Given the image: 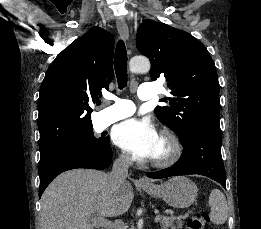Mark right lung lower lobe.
Returning <instances> with one entry per match:
<instances>
[{"instance_id": "obj_1", "label": "right lung lower lobe", "mask_w": 261, "mask_h": 229, "mask_svg": "<svg viewBox=\"0 0 261 229\" xmlns=\"http://www.w3.org/2000/svg\"><path fill=\"white\" fill-rule=\"evenodd\" d=\"M112 155L111 146L107 144L101 150L60 152L40 159L39 197L60 173L76 168L103 170L111 164Z\"/></svg>"}]
</instances>
